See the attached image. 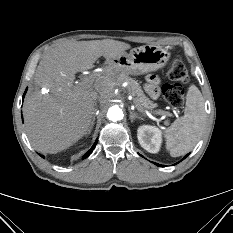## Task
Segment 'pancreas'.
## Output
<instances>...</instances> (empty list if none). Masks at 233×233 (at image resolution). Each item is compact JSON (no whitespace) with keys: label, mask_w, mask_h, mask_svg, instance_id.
<instances>
[{"label":"pancreas","mask_w":233,"mask_h":233,"mask_svg":"<svg viewBox=\"0 0 233 233\" xmlns=\"http://www.w3.org/2000/svg\"><path fill=\"white\" fill-rule=\"evenodd\" d=\"M116 72L115 78L119 83L127 82V89L129 93L133 96V102L138 109H149L153 110L157 105L150 100L143 92L141 86L137 81L127 76L120 69H114Z\"/></svg>","instance_id":"cf45deb5"}]
</instances>
